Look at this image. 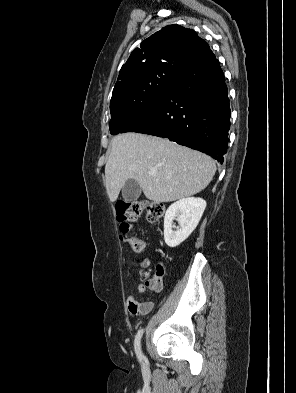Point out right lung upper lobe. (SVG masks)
<instances>
[{"mask_svg": "<svg viewBox=\"0 0 296 393\" xmlns=\"http://www.w3.org/2000/svg\"><path fill=\"white\" fill-rule=\"evenodd\" d=\"M209 51V45L191 29L162 28L134 49L122 66L110 104L139 95L153 79H175Z\"/></svg>", "mask_w": 296, "mask_h": 393, "instance_id": "cb5924a9", "label": "right lung upper lobe"}]
</instances>
